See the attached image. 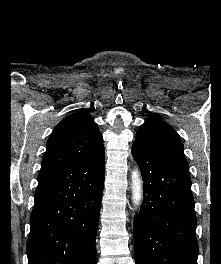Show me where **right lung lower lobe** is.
I'll return each mask as SVG.
<instances>
[{"label": "right lung lower lobe", "instance_id": "1", "mask_svg": "<svg viewBox=\"0 0 221 264\" xmlns=\"http://www.w3.org/2000/svg\"><path fill=\"white\" fill-rule=\"evenodd\" d=\"M105 154L41 171L30 217L28 264H96Z\"/></svg>", "mask_w": 221, "mask_h": 264}]
</instances>
